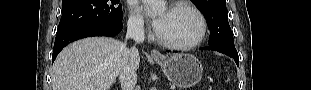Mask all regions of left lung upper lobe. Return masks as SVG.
<instances>
[{
	"mask_svg": "<svg viewBox=\"0 0 311 90\" xmlns=\"http://www.w3.org/2000/svg\"><path fill=\"white\" fill-rule=\"evenodd\" d=\"M193 2L208 22L209 46L236 50L228 23L225 0H194Z\"/></svg>",
	"mask_w": 311,
	"mask_h": 90,
	"instance_id": "obj_1",
	"label": "left lung upper lobe"
}]
</instances>
